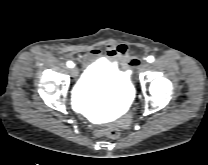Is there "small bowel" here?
<instances>
[{
	"label": "small bowel",
	"mask_w": 208,
	"mask_h": 165,
	"mask_svg": "<svg viewBox=\"0 0 208 165\" xmlns=\"http://www.w3.org/2000/svg\"><path fill=\"white\" fill-rule=\"evenodd\" d=\"M101 57V52L97 49L89 51L85 56L86 62H91ZM105 57L110 61H116L122 66H134L137 62L135 57L130 56L129 48L125 44L110 45L107 47Z\"/></svg>",
	"instance_id": "obj_1"
}]
</instances>
